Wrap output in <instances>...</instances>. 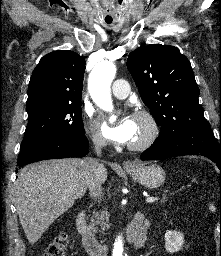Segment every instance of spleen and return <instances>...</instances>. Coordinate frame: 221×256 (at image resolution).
Wrapping results in <instances>:
<instances>
[{
	"label": "spleen",
	"mask_w": 221,
	"mask_h": 256,
	"mask_svg": "<svg viewBox=\"0 0 221 256\" xmlns=\"http://www.w3.org/2000/svg\"><path fill=\"white\" fill-rule=\"evenodd\" d=\"M209 209L212 211V212H215V207L213 204L210 205Z\"/></svg>",
	"instance_id": "obj_1"
}]
</instances>
